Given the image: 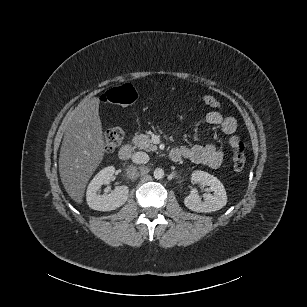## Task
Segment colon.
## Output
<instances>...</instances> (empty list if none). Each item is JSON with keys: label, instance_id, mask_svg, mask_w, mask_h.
I'll use <instances>...</instances> for the list:
<instances>
[{"label": "colon", "instance_id": "colon-1", "mask_svg": "<svg viewBox=\"0 0 307 307\" xmlns=\"http://www.w3.org/2000/svg\"><path fill=\"white\" fill-rule=\"evenodd\" d=\"M201 101L212 108H220V101L211 95H203ZM137 100V92L130 84H124L107 90L101 101L107 105L130 106ZM125 133L120 127H114L107 131L104 137V146L107 152L118 148L123 142ZM233 149V167L236 172H241L246 165L245 145L242 141H237Z\"/></svg>", "mask_w": 307, "mask_h": 307}]
</instances>
